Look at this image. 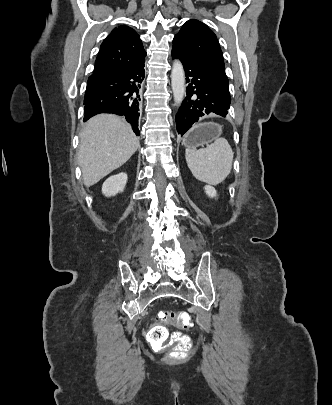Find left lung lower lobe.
<instances>
[{"mask_svg": "<svg viewBox=\"0 0 332 405\" xmlns=\"http://www.w3.org/2000/svg\"><path fill=\"white\" fill-rule=\"evenodd\" d=\"M172 58H178L184 67L186 83V98L177 115V131L183 136L192 125L210 113L225 117L230 104L226 100L222 86L203 67L182 56L172 49Z\"/></svg>", "mask_w": 332, "mask_h": 405, "instance_id": "0a47b994", "label": "left lung lower lobe"}]
</instances>
